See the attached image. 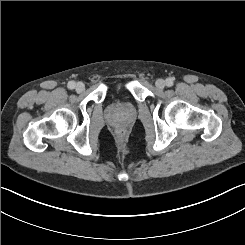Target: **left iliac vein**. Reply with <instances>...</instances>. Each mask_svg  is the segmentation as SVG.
Here are the masks:
<instances>
[{
	"label": "left iliac vein",
	"instance_id": "1",
	"mask_svg": "<svg viewBox=\"0 0 245 245\" xmlns=\"http://www.w3.org/2000/svg\"><path fill=\"white\" fill-rule=\"evenodd\" d=\"M155 85L158 89H163L165 87V81L163 79H158L155 82Z\"/></svg>",
	"mask_w": 245,
	"mask_h": 245
}]
</instances>
